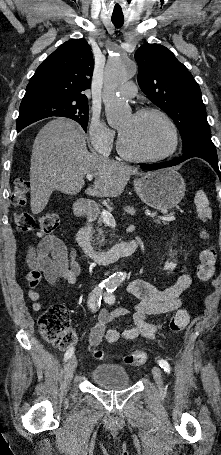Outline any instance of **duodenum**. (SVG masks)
I'll use <instances>...</instances> for the list:
<instances>
[{
    "instance_id": "duodenum-1",
    "label": "duodenum",
    "mask_w": 221,
    "mask_h": 455,
    "mask_svg": "<svg viewBox=\"0 0 221 455\" xmlns=\"http://www.w3.org/2000/svg\"><path fill=\"white\" fill-rule=\"evenodd\" d=\"M98 211L99 208L88 201H82L77 208V213L86 220L85 224L79 229L76 237L85 255L101 264H110L117 261L120 257L132 255L138 246L137 240L120 242L106 250H98L93 247L90 241L89 227L96 219Z\"/></svg>"
}]
</instances>
